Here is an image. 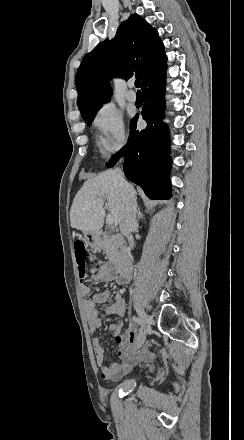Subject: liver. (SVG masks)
<instances>
[{
	"instance_id": "1",
	"label": "liver",
	"mask_w": 244,
	"mask_h": 440,
	"mask_svg": "<svg viewBox=\"0 0 244 440\" xmlns=\"http://www.w3.org/2000/svg\"><path fill=\"white\" fill-rule=\"evenodd\" d=\"M124 196L125 188L121 186L116 170H106L97 178L86 180L71 206V228L81 232H99L104 226V210H109L118 226L124 208Z\"/></svg>"
}]
</instances>
